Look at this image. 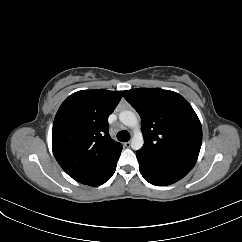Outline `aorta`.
Masks as SVG:
<instances>
[{
	"label": "aorta",
	"mask_w": 242,
	"mask_h": 242,
	"mask_svg": "<svg viewBox=\"0 0 242 242\" xmlns=\"http://www.w3.org/2000/svg\"><path fill=\"white\" fill-rule=\"evenodd\" d=\"M119 120L127 127L133 129V137L131 139V148L139 150L143 147L144 140L142 132L139 128L138 120L134 112L124 110L119 114Z\"/></svg>",
	"instance_id": "aorta-1"
}]
</instances>
